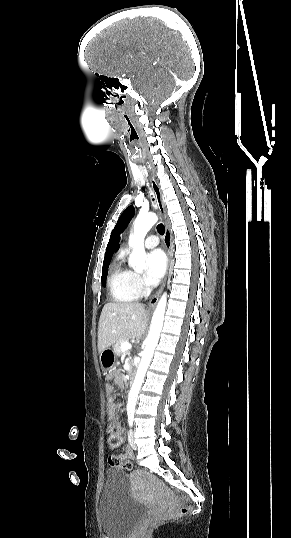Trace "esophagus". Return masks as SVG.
Returning <instances> with one entry per match:
<instances>
[{
	"mask_svg": "<svg viewBox=\"0 0 291 538\" xmlns=\"http://www.w3.org/2000/svg\"><path fill=\"white\" fill-rule=\"evenodd\" d=\"M150 178H151V185H152V189H153V192H154V195H155V200H156V203H157L158 210H159V212L161 213V215H162V217L164 219V225H165L164 244H165V248H166V252H167V258H168L166 276L163 279V281L161 283V286L159 287L158 291L150 299L149 304H148L149 308L153 309L156 306V304H157V302L159 300L160 294L162 293V291H163V289L165 287L168 271H169V268H170V265H171V248H172V244H171V232H170V228H169V219H168L165 203H164V200H163L162 192H161V189L159 187V184H158L157 180L155 179V177H154V175L152 173H150Z\"/></svg>",
	"mask_w": 291,
	"mask_h": 538,
	"instance_id": "34e87169",
	"label": "esophagus"
}]
</instances>
